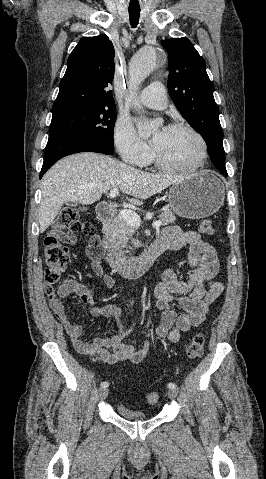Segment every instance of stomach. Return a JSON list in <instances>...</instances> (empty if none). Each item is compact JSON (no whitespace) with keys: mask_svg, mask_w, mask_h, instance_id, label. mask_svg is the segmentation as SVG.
<instances>
[{"mask_svg":"<svg viewBox=\"0 0 266 479\" xmlns=\"http://www.w3.org/2000/svg\"><path fill=\"white\" fill-rule=\"evenodd\" d=\"M225 187L215 175L203 170L172 185L169 207L178 216L200 219L214 214L223 205Z\"/></svg>","mask_w":266,"mask_h":479,"instance_id":"0dacf381","label":"stomach"}]
</instances>
